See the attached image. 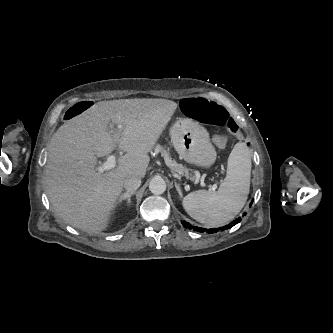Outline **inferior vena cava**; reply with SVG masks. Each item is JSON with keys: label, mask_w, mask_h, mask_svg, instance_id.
I'll return each instance as SVG.
<instances>
[{"label": "inferior vena cava", "mask_w": 333, "mask_h": 333, "mask_svg": "<svg viewBox=\"0 0 333 333\" xmlns=\"http://www.w3.org/2000/svg\"><path fill=\"white\" fill-rule=\"evenodd\" d=\"M141 185V179L137 176H129L124 180V188L128 192H134Z\"/></svg>", "instance_id": "obj_1"}]
</instances>
